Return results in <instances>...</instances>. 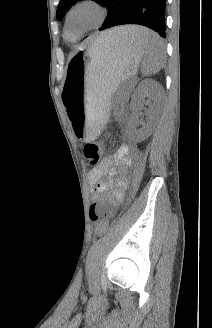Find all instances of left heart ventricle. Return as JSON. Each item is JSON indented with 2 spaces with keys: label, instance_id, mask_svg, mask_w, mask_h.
I'll return each instance as SVG.
<instances>
[{
  "label": "left heart ventricle",
  "instance_id": "obj_1",
  "mask_svg": "<svg viewBox=\"0 0 212 328\" xmlns=\"http://www.w3.org/2000/svg\"><path fill=\"white\" fill-rule=\"evenodd\" d=\"M98 18V13L90 8H82L75 12L71 22V32L77 33L93 25Z\"/></svg>",
  "mask_w": 212,
  "mask_h": 328
}]
</instances>
